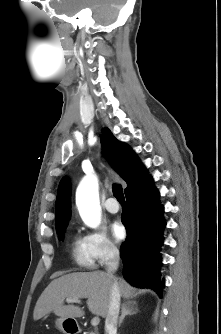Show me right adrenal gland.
Returning a JSON list of instances; mask_svg holds the SVG:
<instances>
[{
    "label": "right adrenal gland",
    "mask_w": 221,
    "mask_h": 334,
    "mask_svg": "<svg viewBox=\"0 0 221 334\" xmlns=\"http://www.w3.org/2000/svg\"><path fill=\"white\" fill-rule=\"evenodd\" d=\"M138 313V308H137V304L134 302V303H127V304H123L122 305V310H121V316L119 318V327L121 326L125 316H131V315H134V314H137Z\"/></svg>",
    "instance_id": "obj_1"
}]
</instances>
